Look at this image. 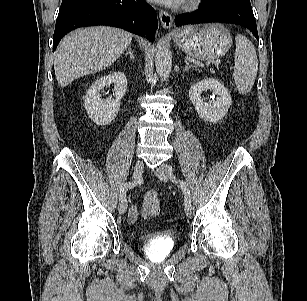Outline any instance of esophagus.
Segmentation results:
<instances>
[{"label": "esophagus", "mask_w": 307, "mask_h": 301, "mask_svg": "<svg viewBox=\"0 0 307 301\" xmlns=\"http://www.w3.org/2000/svg\"><path fill=\"white\" fill-rule=\"evenodd\" d=\"M159 18H160L161 24L164 28H170L171 27L172 22H173V18L168 12L161 9L159 11Z\"/></svg>", "instance_id": "esophagus-1"}]
</instances>
